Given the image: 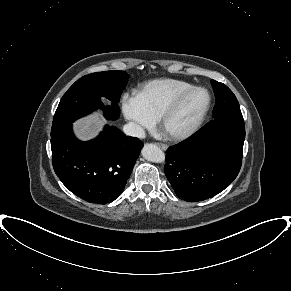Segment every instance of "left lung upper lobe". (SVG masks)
Listing matches in <instances>:
<instances>
[{"label": "left lung upper lobe", "mask_w": 291, "mask_h": 291, "mask_svg": "<svg viewBox=\"0 0 291 291\" xmlns=\"http://www.w3.org/2000/svg\"><path fill=\"white\" fill-rule=\"evenodd\" d=\"M211 84L216 97L213 117L225 115L242 117L239 103L233 92L226 85L215 80H211Z\"/></svg>", "instance_id": "left-lung-upper-lobe-1"}]
</instances>
